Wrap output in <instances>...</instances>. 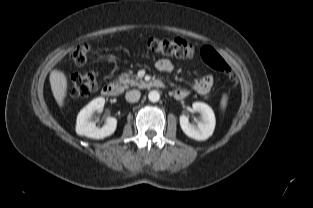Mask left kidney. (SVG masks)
Listing matches in <instances>:
<instances>
[{
	"mask_svg": "<svg viewBox=\"0 0 313 208\" xmlns=\"http://www.w3.org/2000/svg\"><path fill=\"white\" fill-rule=\"evenodd\" d=\"M193 110L201 114V120L197 126L189 123L186 115H181L179 118L180 126L183 132L190 138L198 141L208 139L214 131L216 120L215 115L210 106L203 102H194Z\"/></svg>",
	"mask_w": 313,
	"mask_h": 208,
	"instance_id": "left-kidney-1",
	"label": "left kidney"
}]
</instances>
